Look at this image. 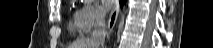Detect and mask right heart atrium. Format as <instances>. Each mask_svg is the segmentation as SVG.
Returning <instances> with one entry per match:
<instances>
[{
    "label": "right heart atrium",
    "mask_w": 213,
    "mask_h": 48,
    "mask_svg": "<svg viewBox=\"0 0 213 48\" xmlns=\"http://www.w3.org/2000/svg\"><path fill=\"white\" fill-rule=\"evenodd\" d=\"M75 19L79 32L87 34L103 22L104 16L94 4L86 3L76 10Z\"/></svg>",
    "instance_id": "d8ad5b80"
}]
</instances>
